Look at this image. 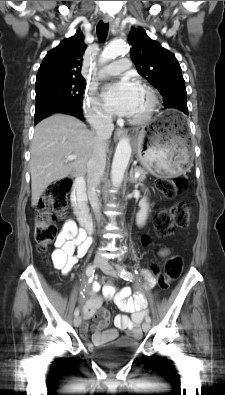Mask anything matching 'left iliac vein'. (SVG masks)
I'll use <instances>...</instances> for the list:
<instances>
[{
	"mask_svg": "<svg viewBox=\"0 0 225 395\" xmlns=\"http://www.w3.org/2000/svg\"><path fill=\"white\" fill-rule=\"evenodd\" d=\"M101 270L106 274L111 277H118L117 272L114 270V268L109 264L107 260H104L103 264L100 266ZM142 329L144 332H148L150 330V323L145 321L142 325Z\"/></svg>",
	"mask_w": 225,
	"mask_h": 395,
	"instance_id": "left-iliac-vein-1",
	"label": "left iliac vein"
}]
</instances>
